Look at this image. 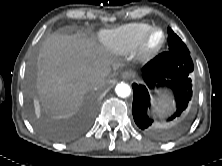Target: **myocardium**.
Listing matches in <instances>:
<instances>
[{
  "mask_svg": "<svg viewBox=\"0 0 222 166\" xmlns=\"http://www.w3.org/2000/svg\"><path fill=\"white\" fill-rule=\"evenodd\" d=\"M155 32L161 33V40L154 46L149 44L151 36ZM166 43V33L158 26H151L142 36L135 49V55L140 61H147L157 56Z\"/></svg>",
  "mask_w": 222,
  "mask_h": 166,
  "instance_id": "myocardium-1",
  "label": "myocardium"
}]
</instances>
